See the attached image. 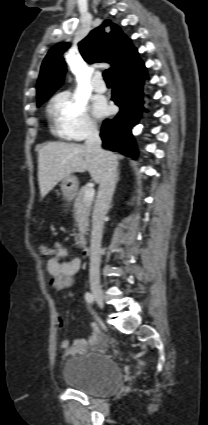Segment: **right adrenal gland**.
<instances>
[{
	"label": "right adrenal gland",
	"instance_id": "obj_1",
	"mask_svg": "<svg viewBox=\"0 0 208 425\" xmlns=\"http://www.w3.org/2000/svg\"><path fill=\"white\" fill-rule=\"evenodd\" d=\"M119 179H120V177H119V170L117 171V176H116V182H118L119 181Z\"/></svg>",
	"mask_w": 208,
	"mask_h": 425
}]
</instances>
